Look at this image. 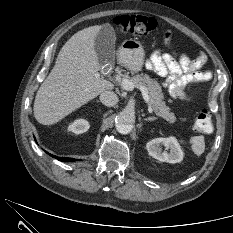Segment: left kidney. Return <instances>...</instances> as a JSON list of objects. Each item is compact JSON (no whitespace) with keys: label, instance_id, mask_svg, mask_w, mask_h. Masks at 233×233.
<instances>
[{"label":"left kidney","instance_id":"1","mask_svg":"<svg viewBox=\"0 0 233 233\" xmlns=\"http://www.w3.org/2000/svg\"><path fill=\"white\" fill-rule=\"evenodd\" d=\"M162 146L165 147L164 151ZM146 149L150 156L162 162L178 163L183 160L184 156L175 137L155 138L146 144Z\"/></svg>","mask_w":233,"mask_h":233}]
</instances>
